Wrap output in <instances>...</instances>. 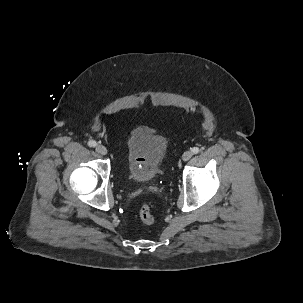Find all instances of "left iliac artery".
<instances>
[{
	"label": "left iliac artery",
	"mask_w": 303,
	"mask_h": 303,
	"mask_svg": "<svg viewBox=\"0 0 303 303\" xmlns=\"http://www.w3.org/2000/svg\"><path fill=\"white\" fill-rule=\"evenodd\" d=\"M191 151L194 153V154H197V153H199V148L198 147H193L192 149H191Z\"/></svg>",
	"instance_id": "44dca946"
}]
</instances>
